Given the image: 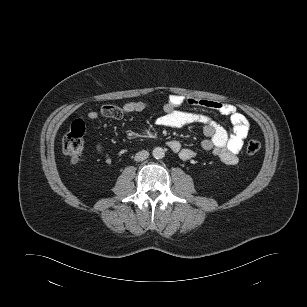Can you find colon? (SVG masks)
I'll use <instances>...</instances> for the list:
<instances>
[{"label": "colon", "instance_id": "obj_1", "mask_svg": "<svg viewBox=\"0 0 307 307\" xmlns=\"http://www.w3.org/2000/svg\"><path fill=\"white\" fill-rule=\"evenodd\" d=\"M85 125L81 120L72 123L70 130L65 134L62 141L63 152L73 162L79 161L84 147ZM261 148L259 141L250 139L246 144V152L249 155L256 154Z\"/></svg>", "mask_w": 307, "mask_h": 307}]
</instances>
